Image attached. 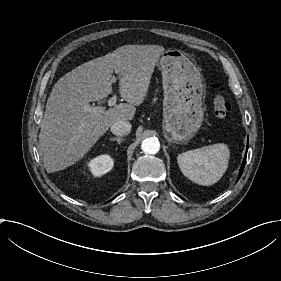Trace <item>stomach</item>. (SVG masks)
I'll use <instances>...</instances> for the list:
<instances>
[{
    "mask_svg": "<svg viewBox=\"0 0 281 281\" xmlns=\"http://www.w3.org/2000/svg\"><path fill=\"white\" fill-rule=\"evenodd\" d=\"M157 68L164 90V130L169 142L186 143L204 118L205 84L200 68L183 51L164 50Z\"/></svg>",
    "mask_w": 281,
    "mask_h": 281,
    "instance_id": "0dacf381",
    "label": "stomach"
}]
</instances>
